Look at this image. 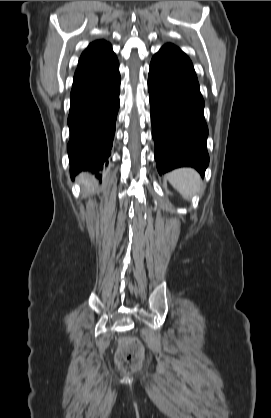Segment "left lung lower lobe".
Wrapping results in <instances>:
<instances>
[{
    "instance_id": "0a47b994",
    "label": "left lung lower lobe",
    "mask_w": 271,
    "mask_h": 418,
    "mask_svg": "<svg viewBox=\"0 0 271 418\" xmlns=\"http://www.w3.org/2000/svg\"><path fill=\"white\" fill-rule=\"evenodd\" d=\"M148 90L159 174L191 166L203 177L209 164L208 127L188 56L172 44L163 46L151 60Z\"/></svg>"
}]
</instances>
